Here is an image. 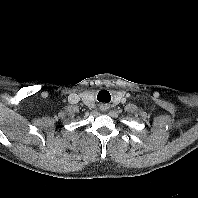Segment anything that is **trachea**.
I'll return each instance as SVG.
<instances>
[{"instance_id":"3493384b","label":"trachea","mask_w":198,"mask_h":198,"mask_svg":"<svg viewBox=\"0 0 198 198\" xmlns=\"http://www.w3.org/2000/svg\"><path fill=\"white\" fill-rule=\"evenodd\" d=\"M110 97V93L106 90H102L98 93L97 99L100 102H108ZM111 98V97H110Z\"/></svg>"}]
</instances>
